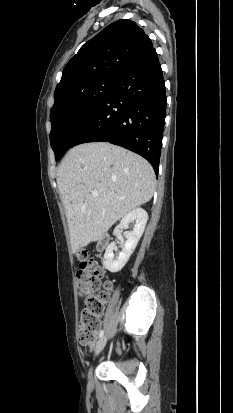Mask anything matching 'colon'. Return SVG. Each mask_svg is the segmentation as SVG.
Masks as SVG:
<instances>
[{"label":"colon","mask_w":233,"mask_h":413,"mask_svg":"<svg viewBox=\"0 0 233 413\" xmlns=\"http://www.w3.org/2000/svg\"><path fill=\"white\" fill-rule=\"evenodd\" d=\"M77 283L82 295H89L85 307L80 315L78 340L83 346L91 347L95 341L100 316L107 300L106 291H98L101 286L103 271L87 251H80L77 255ZM108 287L107 285L105 286Z\"/></svg>","instance_id":"1"}]
</instances>
